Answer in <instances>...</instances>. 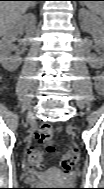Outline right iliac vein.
I'll use <instances>...</instances> for the list:
<instances>
[{
	"instance_id": "1",
	"label": "right iliac vein",
	"mask_w": 104,
	"mask_h": 189,
	"mask_svg": "<svg viewBox=\"0 0 104 189\" xmlns=\"http://www.w3.org/2000/svg\"><path fill=\"white\" fill-rule=\"evenodd\" d=\"M35 117H34V113L33 112H30L28 114V117H27V120L28 122L32 123L34 121Z\"/></svg>"
}]
</instances>
